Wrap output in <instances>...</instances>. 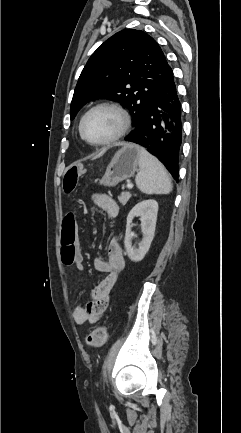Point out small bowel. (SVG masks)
<instances>
[{
  "label": "small bowel",
  "instance_id": "1",
  "mask_svg": "<svg viewBox=\"0 0 241 433\" xmlns=\"http://www.w3.org/2000/svg\"><path fill=\"white\" fill-rule=\"evenodd\" d=\"M92 202L97 209L111 217H115L118 214V205L114 199L107 194H95L92 198ZM63 228L64 226H62V234ZM76 229H78V225ZM82 262L83 255L80 249V251L76 252L74 264L78 269H82ZM124 266L125 261L121 245L118 239L113 238L108 245L107 258L94 259V268L98 272L107 273L108 275L90 291L91 298L85 303L76 306L73 311L74 321L78 325L96 323L104 315L109 306L111 291L117 282L119 273L124 269Z\"/></svg>",
  "mask_w": 241,
  "mask_h": 433
}]
</instances>
